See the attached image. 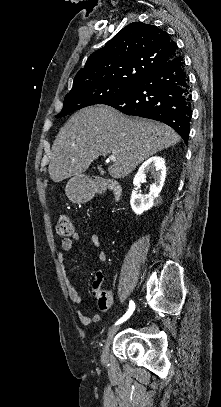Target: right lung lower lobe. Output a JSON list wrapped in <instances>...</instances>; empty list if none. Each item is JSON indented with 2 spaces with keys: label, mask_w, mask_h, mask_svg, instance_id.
<instances>
[{
  "label": "right lung lower lobe",
  "mask_w": 221,
  "mask_h": 407,
  "mask_svg": "<svg viewBox=\"0 0 221 407\" xmlns=\"http://www.w3.org/2000/svg\"><path fill=\"white\" fill-rule=\"evenodd\" d=\"M124 114L161 121L187 144L190 131L191 90L183 57L177 54L157 67L124 95L107 101Z\"/></svg>",
  "instance_id": "98d812e1"
}]
</instances>
